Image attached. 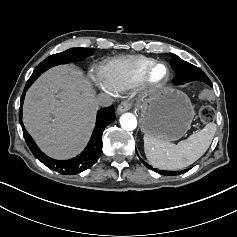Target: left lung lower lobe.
<instances>
[{"mask_svg": "<svg viewBox=\"0 0 237 237\" xmlns=\"http://www.w3.org/2000/svg\"><path fill=\"white\" fill-rule=\"evenodd\" d=\"M189 170V169H188ZM187 170H183V171H181L180 173H177L176 175H179V174H182V173H184V172H186Z\"/></svg>", "mask_w": 237, "mask_h": 237, "instance_id": "obj_1", "label": "left lung lower lobe"}]
</instances>
